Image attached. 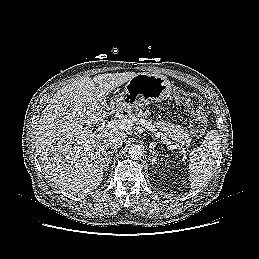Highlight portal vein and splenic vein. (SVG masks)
Returning a JSON list of instances; mask_svg holds the SVG:
<instances>
[{
    "label": "portal vein and splenic vein",
    "mask_w": 259,
    "mask_h": 259,
    "mask_svg": "<svg viewBox=\"0 0 259 259\" xmlns=\"http://www.w3.org/2000/svg\"><path fill=\"white\" fill-rule=\"evenodd\" d=\"M141 124H143L145 126L146 129H148L149 131H156L155 127L151 125L150 122L146 121V120H142L140 122ZM134 125V122L131 121L130 119H119V120H111L106 124L107 129H119V130H123V131H127L130 130ZM157 138H161V141L164 144L167 145H171L174 142H172L171 140L167 139V137H165L163 134L157 133L156 135Z\"/></svg>",
    "instance_id": "1"
}]
</instances>
